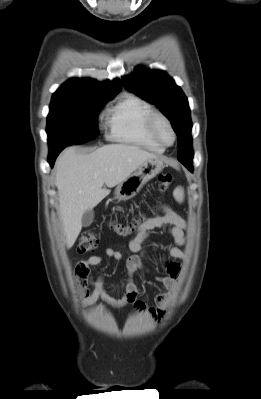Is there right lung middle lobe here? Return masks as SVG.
Returning <instances> with one entry per match:
<instances>
[{
    "label": "right lung middle lobe",
    "mask_w": 261,
    "mask_h": 399,
    "mask_svg": "<svg viewBox=\"0 0 261 399\" xmlns=\"http://www.w3.org/2000/svg\"><path fill=\"white\" fill-rule=\"evenodd\" d=\"M110 99H52L46 129L50 149L95 139L97 114Z\"/></svg>",
    "instance_id": "1"
}]
</instances>
